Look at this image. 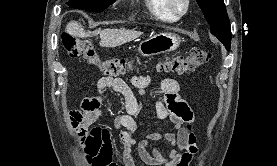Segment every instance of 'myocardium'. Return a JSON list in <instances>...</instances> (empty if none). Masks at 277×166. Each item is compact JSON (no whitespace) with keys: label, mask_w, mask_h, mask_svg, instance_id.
Instances as JSON below:
<instances>
[{"label":"myocardium","mask_w":277,"mask_h":166,"mask_svg":"<svg viewBox=\"0 0 277 166\" xmlns=\"http://www.w3.org/2000/svg\"><path fill=\"white\" fill-rule=\"evenodd\" d=\"M184 6L182 9H177L174 5V0H165L166 7L168 10L175 16V17H181L185 15L189 8L191 1L190 0H183Z\"/></svg>","instance_id":"f54148a6"}]
</instances>
